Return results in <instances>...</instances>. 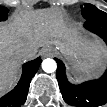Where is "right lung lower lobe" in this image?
<instances>
[{"instance_id":"obj_1","label":"right lung lower lobe","mask_w":107,"mask_h":107,"mask_svg":"<svg viewBox=\"0 0 107 107\" xmlns=\"http://www.w3.org/2000/svg\"><path fill=\"white\" fill-rule=\"evenodd\" d=\"M41 58L29 61L23 65V73L17 86L0 99V107H20L25 103L32 77L37 72Z\"/></svg>"}]
</instances>
